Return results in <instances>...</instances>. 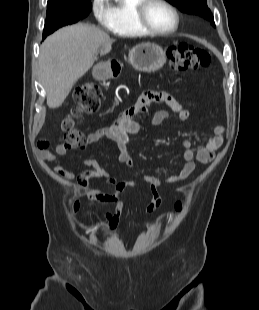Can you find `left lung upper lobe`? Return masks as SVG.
Here are the masks:
<instances>
[{"label": "left lung upper lobe", "mask_w": 259, "mask_h": 310, "mask_svg": "<svg viewBox=\"0 0 259 310\" xmlns=\"http://www.w3.org/2000/svg\"><path fill=\"white\" fill-rule=\"evenodd\" d=\"M172 5L176 6L182 12L188 14L199 15L210 21L215 27L214 18L207 6L206 0H166Z\"/></svg>", "instance_id": "left-lung-upper-lobe-1"}]
</instances>
